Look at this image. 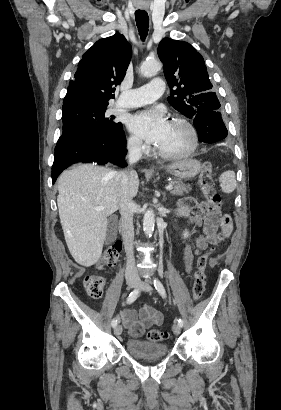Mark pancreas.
Returning a JSON list of instances; mask_svg holds the SVG:
<instances>
[{
    "instance_id": "pancreas-1",
    "label": "pancreas",
    "mask_w": 281,
    "mask_h": 410,
    "mask_svg": "<svg viewBox=\"0 0 281 410\" xmlns=\"http://www.w3.org/2000/svg\"><path fill=\"white\" fill-rule=\"evenodd\" d=\"M171 184L173 186V189L171 190V193L173 195H183L184 192L188 193L189 191H191L190 185H186L180 180L173 179L171 181Z\"/></svg>"
}]
</instances>
